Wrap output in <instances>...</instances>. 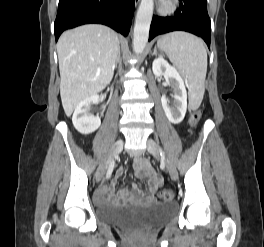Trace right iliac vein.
Wrapping results in <instances>:
<instances>
[{
  "label": "right iliac vein",
  "mask_w": 264,
  "mask_h": 247,
  "mask_svg": "<svg viewBox=\"0 0 264 247\" xmlns=\"http://www.w3.org/2000/svg\"><path fill=\"white\" fill-rule=\"evenodd\" d=\"M122 149H123V140H117L112 146L108 157L104 160V162L99 166L97 170V173H96L97 181L102 179L112 159L116 157L122 151Z\"/></svg>",
  "instance_id": "right-iliac-vein-1"
}]
</instances>
